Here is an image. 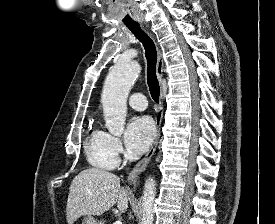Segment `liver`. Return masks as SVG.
<instances>
[{
	"mask_svg": "<svg viewBox=\"0 0 275 224\" xmlns=\"http://www.w3.org/2000/svg\"><path fill=\"white\" fill-rule=\"evenodd\" d=\"M128 191L120 186L115 174L98 168L81 171L73 179L67 200L68 224H73L81 216H100L117 203L124 213L128 208Z\"/></svg>",
	"mask_w": 275,
	"mask_h": 224,
	"instance_id": "6515ba94",
	"label": "liver"
}]
</instances>
